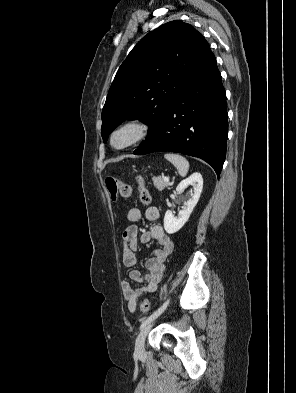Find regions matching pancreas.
<instances>
[{"mask_svg":"<svg viewBox=\"0 0 296 393\" xmlns=\"http://www.w3.org/2000/svg\"><path fill=\"white\" fill-rule=\"evenodd\" d=\"M154 186L159 190L162 191L165 187L170 185L169 181H165L163 177H153L152 178Z\"/></svg>","mask_w":296,"mask_h":393,"instance_id":"obj_1","label":"pancreas"}]
</instances>
